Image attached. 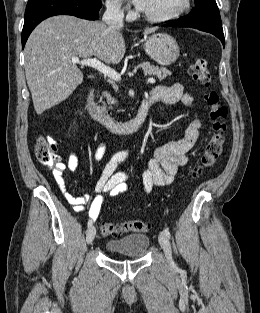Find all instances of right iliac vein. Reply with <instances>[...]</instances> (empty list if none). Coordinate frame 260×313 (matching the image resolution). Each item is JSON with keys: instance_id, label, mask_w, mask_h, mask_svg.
Listing matches in <instances>:
<instances>
[{"instance_id": "1", "label": "right iliac vein", "mask_w": 260, "mask_h": 313, "mask_svg": "<svg viewBox=\"0 0 260 313\" xmlns=\"http://www.w3.org/2000/svg\"><path fill=\"white\" fill-rule=\"evenodd\" d=\"M96 235V229L94 226H91L87 230L86 241L88 244L92 243Z\"/></svg>"}]
</instances>
